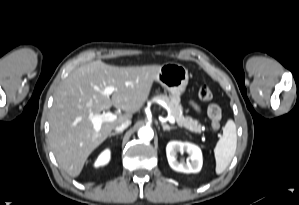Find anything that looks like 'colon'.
<instances>
[{"instance_id":"1","label":"colon","mask_w":299,"mask_h":205,"mask_svg":"<svg viewBox=\"0 0 299 205\" xmlns=\"http://www.w3.org/2000/svg\"><path fill=\"white\" fill-rule=\"evenodd\" d=\"M198 95L201 100L208 101L212 98V91L210 87L206 83H204L201 85ZM208 113L211 119L212 129L216 132L220 128V119H221L220 109L211 108L209 109Z\"/></svg>"}]
</instances>
